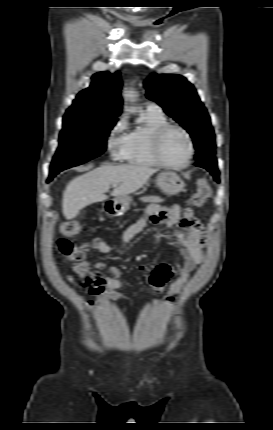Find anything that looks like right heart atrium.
Returning <instances> with one entry per match:
<instances>
[{
	"label": "right heart atrium",
	"instance_id": "right-heart-atrium-1",
	"mask_svg": "<svg viewBox=\"0 0 273 430\" xmlns=\"http://www.w3.org/2000/svg\"><path fill=\"white\" fill-rule=\"evenodd\" d=\"M126 123L120 118L110 129L107 137V148L115 160H124L128 147V136L125 133Z\"/></svg>",
	"mask_w": 273,
	"mask_h": 430
}]
</instances>
